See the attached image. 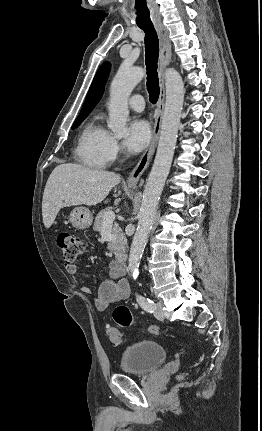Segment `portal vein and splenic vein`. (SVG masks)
Listing matches in <instances>:
<instances>
[{
  "instance_id": "18ae733b",
  "label": "portal vein and splenic vein",
  "mask_w": 262,
  "mask_h": 431,
  "mask_svg": "<svg viewBox=\"0 0 262 431\" xmlns=\"http://www.w3.org/2000/svg\"><path fill=\"white\" fill-rule=\"evenodd\" d=\"M114 219H115V213L114 212H112V211L106 212L104 219H103V226L112 224Z\"/></svg>"
}]
</instances>
